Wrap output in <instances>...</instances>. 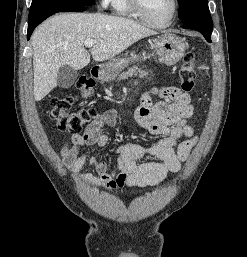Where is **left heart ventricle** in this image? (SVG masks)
<instances>
[{"instance_id": "obj_1", "label": "left heart ventricle", "mask_w": 247, "mask_h": 257, "mask_svg": "<svg viewBox=\"0 0 247 257\" xmlns=\"http://www.w3.org/2000/svg\"><path fill=\"white\" fill-rule=\"evenodd\" d=\"M141 3L146 16L158 24L168 21L173 11V0H141Z\"/></svg>"}]
</instances>
